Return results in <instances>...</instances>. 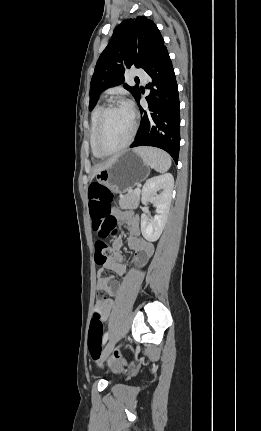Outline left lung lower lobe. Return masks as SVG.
<instances>
[{
  "label": "left lung lower lobe",
  "instance_id": "left-lung-lower-lobe-1",
  "mask_svg": "<svg viewBox=\"0 0 261 431\" xmlns=\"http://www.w3.org/2000/svg\"><path fill=\"white\" fill-rule=\"evenodd\" d=\"M151 82L146 97L148 108L140 104L141 92L135 98L141 112V123L130 146H154L167 151L178 162L180 147V107L178 87L167 48L163 46L145 69Z\"/></svg>",
  "mask_w": 261,
  "mask_h": 431
}]
</instances>
